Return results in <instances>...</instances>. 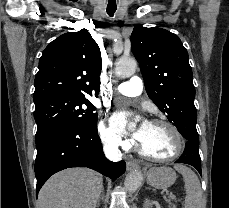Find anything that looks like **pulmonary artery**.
<instances>
[{"instance_id": "obj_1", "label": "pulmonary artery", "mask_w": 229, "mask_h": 208, "mask_svg": "<svg viewBox=\"0 0 229 208\" xmlns=\"http://www.w3.org/2000/svg\"><path fill=\"white\" fill-rule=\"evenodd\" d=\"M127 79L116 87V92L125 96H138L143 91V80L141 77L131 75L130 77H119Z\"/></svg>"}]
</instances>
